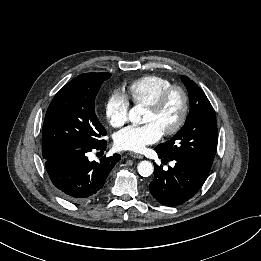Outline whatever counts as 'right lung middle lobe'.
Returning a JSON list of instances; mask_svg holds the SVG:
<instances>
[{"instance_id":"obj_1","label":"right lung middle lobe","mask_w":261,"mask_h":261,"mask_svg":"<svg viewBox=\"0 0 261 261\" xmlns=\"http://www.w3.org/2000/svg\"><path fill=\"white\" fill-rule=\"evenodd\" d=\"M110 73H85L58 91L43 123L42 155L53 158L72 149L90 148L106 130L95 114V97Z\"/></svg>"}]
</instances>
